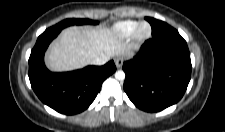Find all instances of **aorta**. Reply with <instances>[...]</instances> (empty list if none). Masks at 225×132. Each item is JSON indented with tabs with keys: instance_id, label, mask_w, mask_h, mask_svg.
Here are the masks:
<instances>
[{
	"instance_id": "obj_1",
	"label": "aorta",
	"mask_w": 225,
	"mask_h": 132,
	"mask_svg": "<svg viewBox=\"0 0 225 132\" xmlns=\"http://www.w3.org/2000/svg\"><path fill=\"white\" fill-rule=\"evenodd\" d=\"M115 78L117 80H124L125 79V73L122 70H118L115 72Z\"/></svg>"
}]
</instances>
